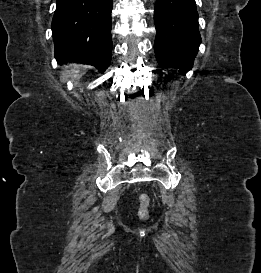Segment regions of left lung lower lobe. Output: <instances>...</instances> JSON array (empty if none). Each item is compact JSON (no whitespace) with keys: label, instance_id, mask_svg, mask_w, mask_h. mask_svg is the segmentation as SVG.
Wrapping results in <instances>:
<instances>
[{"label":"left lung lower lobe","instance_id":"obj_1","mask_svg":"<svg viewBox=\"0 0 261 273\" xmlns=\"http://www.w3.org/2000/svg\"><path fill=\"white\" fill-rule=\"evenodd\" d=\"M154 50L164 67L192 69L201 43L195 0H156Z\"/></svg>","mask_w":261,"mask_h":273}]
</instances>
